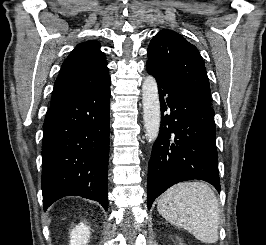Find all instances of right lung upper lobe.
Segmentation results:
<instances>
[{"instance_id":"1","label":"right lung upper lobe","mask_w":266,"mask_h":245,"mask_svg":"<svg viewBox=\"0 0 266 245\" xmlns=\"http://www.w3.org/2000/svg\"><path fill=\"white\" fill-rule=\"evenodd\" d=\"M105 54L100 43L90 40L80 43L63 62L54 84L51 105L68 98L82 88L110 82Z\"/></svg>"}]
</instances>
